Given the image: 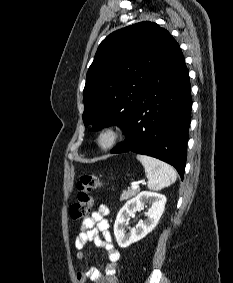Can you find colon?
Listing matches in <instances>:
<instances>
[{"mask_svg":"<svg viewBox=\"0 0 233 283\" xmlns=\"http://www.w3.org/2000/svg\"><path fill=\"white\" fill-rule=\"evenodd\" d=\"M102 186L97 176L82 175L77 182V201L70 207V217L74 220L89 216L94 203L92 192Z\"/></svg>","mask_w":233,"mask_h":283,"instance_id":"1","label":"colon"}]
</instances>
